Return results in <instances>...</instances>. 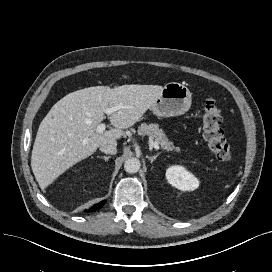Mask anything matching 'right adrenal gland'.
I'll list each match as a JSON object with an SVG mask.
<instances>
[{
  "label": "right adrenal gland",
  "mask_w": 272,
  "mask_h": 272,
  "mask_svg": "<svg viewBox=\"0 0 272 272\" xmlns=\"http://www.w3.org/2000/svg\"><path fill=\"white\" fill-rule=\"evenodd\" d=\"M111 156H98V158H102L104 159V161L106 162Z\"/></svg>",
  "instance_id": "obj_1"
}]
</instances>
